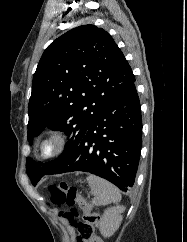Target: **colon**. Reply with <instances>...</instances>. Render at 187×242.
<instances>
[{"instance_id": "colon-1", "label": "colon", "mask_w": 187, "mask_h": 242, "mask_svg": "<svg viewBox=\"0 0 187 242\" xmlns=\"http://www.w3.org/2000/svg\"><path fill=\"white\" fill-rule=\"evenodd\" d=\"M50 193V202L58 207L68 206L70 211L64 212L63 216L75 227L77 231V242H102L95 236L100 216L93 211L90 203L73 186L66 183L51 184L48 187ZM82 209V216L76 219L78 212L75 206Z\"/></svg>"}]
</instances>
